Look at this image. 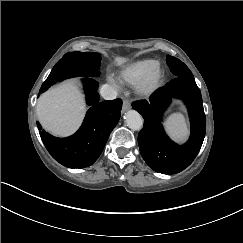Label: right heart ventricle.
<instances>
[{"mask_svg": "<svg viewBox=\"0 0 243 243\" xmlns=\"http://www.w3.org/2000/svg\"><path fill=\"white\" fill-rule=\"evenodd\" d=\"M158 64H160V61L155 58L134 59L120 66L117 77L123 86L135 88L148 72Z\"/></svg>", "mask_w": 243, "mask_h": 243, "instance_id": "e07e8e85", "label": "right heart ventricle"}]
</instances>
